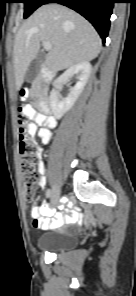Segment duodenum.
Here are the masks:
<instances>
[{
  "label": "duodenum",
  "mask_w": 136,
  "mask_h": 296,
  "mask_svg": "<svg viewBox=\"0 0 136 296\" xmlns=\"http://www.w3.org/2000/svg\"><path fill=\"white\" fill-rule=\"evenodd\" d=\"M41 73L43 84H47L53 79V73L47 67H42ZM38 106L44 114V125L50 128L53 127L55 125L53 111L50 99L45 94L40 96Z\"/></svg>",
  "instance_id": "410a0bca"
}]
</instances>
